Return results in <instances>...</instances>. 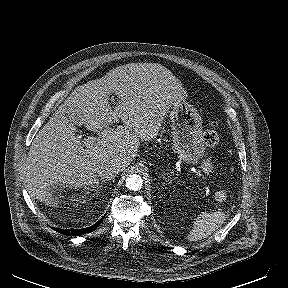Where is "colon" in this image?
Instances as JSON below:
<instances>
[{"label":"colon","mask_w":288,"mask_h":288,"mask_svg":"<svg viewBox=\"0 0 288 288\" xmlns=\"http://www.w3.org/2000/svg\"><path fill=\"white\" fill-rule=\"evenodd\" d=\"M219 123L217 121H211L208 129L205 131L203 140L204 143L212 148H216L220 145L221 136L219 133Z\"/></svg>","instance_id":"colon-1"}]
</instances>
